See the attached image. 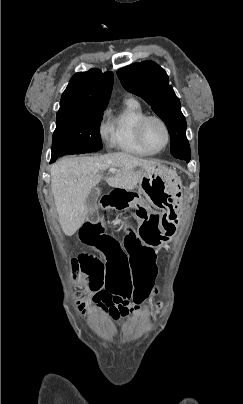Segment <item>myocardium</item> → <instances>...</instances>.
<instances>
[{
    "mask_svg": "<svg viewBox=\"0 0 243 404\" xmlns=\"http://www.w3.org/2000/svg\"><path fill=\"white\" fill-rule=\"evenodd\" d=\"M153 119L159 121L163 125V127L165 128L166 133H167V142L160 149H155V148L151 147L147 143V141L145 140L144 135H143L144 126L146 125V123L148 121L153 120ZM136 135H137V138H138L139 142L141 143V145L144 146L146 149L154 152V153H160V152L166 150L170 146L171 141H172V132H171V128H170L169 124L166 122V120L164 118H162L161 116L156 115V114H145L137 122V124H136Z\"/></svg>",
    "mask_w": 243,
    "mask_h": 404,
    "instance_id": "myocardium-1",
    "label": "myocardium"
}]
</instances>
